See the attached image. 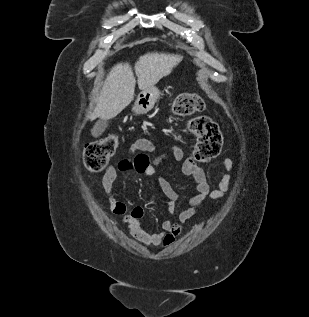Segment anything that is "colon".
I'll return each instance as SVG.
<instances>
[{
	"instance_id": "1",
	"label": "colon",
	"mask_w": 309,
	"mask_h": 317,
	"mask_svg": "<svg viewBox=\"0 0 309 317\" xmlns=\"http://www.w3.org/2000/svg\"><path fill=\"white\" fill-rule=\"evenodd\" d=\"M204 108L202 98L195 93H182L172 103V112L176 116L194 115ZM189 128L196 136L193 157L196 162H208L215 158L222 147V134L218 125L207 116H196L189 121ZM118 146V138L109 134L104 138L86 144L84 148V166L91 172H100L108 164Z\"/></svg>"
}]
</instances>
